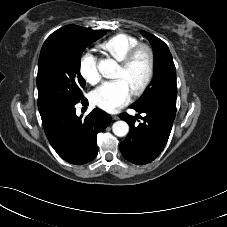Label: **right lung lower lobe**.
<instances>
[{"label": "right lung lower lobe", "instance_id": "right-lung-lower-lobe-1", "mask_svg": "<svg viewBox=\"0 0 227 227\" xmlns=\"http://www.w3.org/2000/svg\"><path fill=\"white\" fill-rule=\"evenodd\" d=\"M78 106L84 112L88 100L84 98L77 104L59 106L40 115L46 136L58 155L71 164L82 165L96 157L97 134L105 130L111 117L98 108L86 117L78 116Z\"/></svg>", "mask_w": 227, "mask_h": 227}]
</instances>
